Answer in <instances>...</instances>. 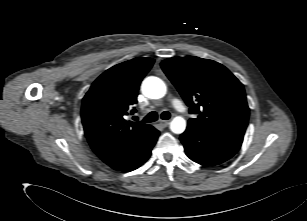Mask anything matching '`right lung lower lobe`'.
<instances>
[{"instance_id":"obj_1","label":"right lung lower lobe","mask_w":307,"mask_h":221,"mask_svg":"<svg viewBox=\"0 0 307 221\" xmlns=\"http://www.w3.org/2000/svg\"><path fill=\"white\" fill-rule=\"evenodd\" d=\"M159 131L152 127L149 134L144 137L135 147L119 158L117 161L108 164L117 171L129 172L140 167L151 154L159 136Z\"/></svg>"}]
</instances>
